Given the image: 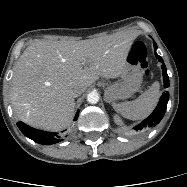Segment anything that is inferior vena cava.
I'll return each mask as SVG.
<instances>
[{"mask_svg":"<svg viewBox=\"0 0 187 187\" xmlns=\"http://www.w3.org/2000/svg\"><path fill=\"white\" fill-rule=\"evenodd\" d=\"M81 93H82V91H81L80 89L76 88V89H73V90L71 91V96H72L73 98H76V97L80 96Z\"/></svg>","mask_w":187,"mask_h":187,"instance_id":"1","label":"inferior vena cava"}]
</instances>
